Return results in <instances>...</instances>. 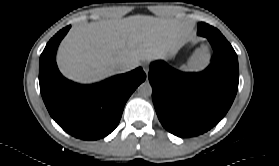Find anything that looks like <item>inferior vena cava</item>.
I'll return each instance as SVG.
<instances>
[{"mask_svg": "<svg viewBox=\"0 0 279 166\" xmlns=\"http://www.w3.org/2000/svg\"><path fill=\"white\" fill-rule=\"evenodd\" d=\"M139 64L137 62H126L119 66V72L124 73L135 69Z\"/></svg>", "mask_w": 279, "mask_h": 166, "instance_id": "obj_1", "label": "inferior vena cava"}]
</instances>
